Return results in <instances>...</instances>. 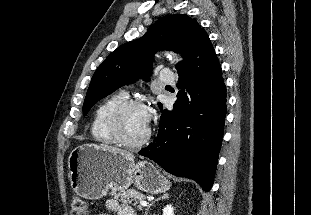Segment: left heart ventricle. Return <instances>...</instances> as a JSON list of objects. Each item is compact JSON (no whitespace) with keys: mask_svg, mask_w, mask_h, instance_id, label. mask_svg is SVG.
<instances>
[{"mask_svg":"<svg viewBox=\"0 0 311 215\" xmlns=\"http://www.w3.org/2000/svg\"><path fill=\"white\" fill-rule=\"evenodd\" d=\"M147 110L141 107L129 109L123 120V129L125 137L130 141H138L142 139L147 130L146 123Z\"/></svg>","mask_w":311,"mask_h":215,"instance_id":"1","label":"left heart ventricle"}]
</instances>
